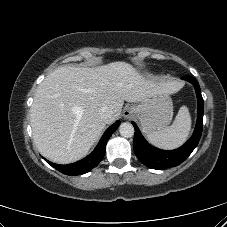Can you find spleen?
I'll use <instances>...</instances> for the list:
<instances>
[{"label": "spleen", "mask_w": 227, "mask_h": 227, "mask_svg": "<svg viewBox=\"0 0 227 227\" xmlns=\"http://www.w3.org/2000/svg\"><path fill=\"white\" fill-rule=\"evenodd\" d=\"M191 128V117L186 106H182L172 125L147 135L148 140L162 149H174L187 139Z\"/></svg>", "instance_id": "spleen-1"}]
</instances>
